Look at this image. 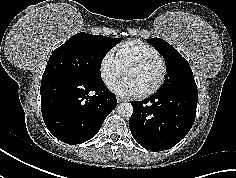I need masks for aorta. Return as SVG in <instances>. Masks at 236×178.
Segmentation results:
<instances>
[{
    "label": "aorta",
    "mask_w": 236,
    "mask_h": 178,
    "mask_svg": "<svg viewBox=\"0 0 236 178\" xmlns=\"http://www.w3.org/2000/svg\"><path fill=\"white\" fill-rule=\"evenodd\" d=\"M117 112L122 117H130L133 113V106L130 103H120L117 107Z\"/></svg>",
    "instance_id": "obj_1"
}]
</instances>
